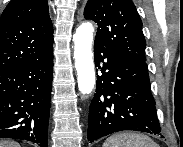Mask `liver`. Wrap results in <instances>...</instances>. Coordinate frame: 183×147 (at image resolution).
<instances>
[{
	"label": "liver",
	"instance_id": "6515ba94",
	"mask_svg": "<svg viewBox=\"0 0 183 147\" xmlns=\"http://www.w3.org/2000/svg\"><path fill=\"white\" fill-rule=\"evenodd\" d=\"M0 147H20V145L14 141L4 140L0 141Z\"/></svg>",
	"mask_w": 183,
	"mask_h": 147
}]
</instances>
